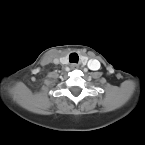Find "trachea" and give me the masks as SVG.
I'll return each mask as SVG.
<instances>
[{"mask_svg": "<svg viewBox=\"0 0 145 145\" xmlns=\"http://www.w3.org/2000/svg\"><path fill=\"white\" fill-rule=\"evenodd\" d=\"M78 59H79V57H78L77 53H72L69 56L70 63H78Z\"/></svg>", "mask_w": 145, "mask_h": 145, "instance_id": "obj_1", "label": "trachea"}]
</instances>
